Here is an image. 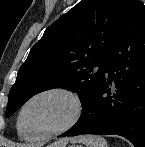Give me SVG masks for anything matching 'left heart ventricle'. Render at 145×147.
<instances>
[{"label": "left heart ventricle", "mask_w": 145, "mask_h": 147, "mask_svg": "<svg viewBox=\"0 0 145 147\" xmlns=\"http://www.w3.org/2000/svg\"><path fill=\"white\" fill-rule=\"evenodd\" d=\"M73 114L71 101L61 95H48L32 102L22 118L26 134H39L63 126Z\"/></svg>", "instance_id": "1"}]
</instances>
